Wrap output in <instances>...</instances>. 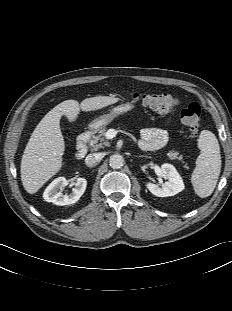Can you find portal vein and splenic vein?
<instances>
[{
	"instance_id": "obj_1",
	"label": "portal vein and splenic vein",
	"mask_w": 232,
	"mask_h": 311,
	"mask_svg": "<svg viewBox=\"0 0 232 311\" xmlns=\"http://www.w3.org/2000/svg\"><path fill=\"white\" fill-rule=\"evenodd\" d=\"M116 132L113 129L108 130L106 136L108 139H112L115 136Z\"/></svg>"
}]
</instances>
